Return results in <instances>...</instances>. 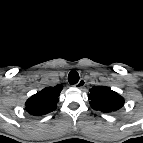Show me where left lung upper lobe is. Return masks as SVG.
Masks as SVG:
<instances>
[{
	"label": "left lung upper lobe",
	"mask_w": 143,
	"mask_h": 143,
	"mask_svg": "<svg viewBox=\"0 0 143 143\" xmlns=\"http://www.w3.org/2000/svg\"><path fill=\"white\" fill-rule=\"evenodd\" d=\"M89 92V103L94 110L111 113L119 110L124 105V98L109 87L94 86L89 89Z\"/></svg>",
	"instance_id": "1"
}]
</instances>
